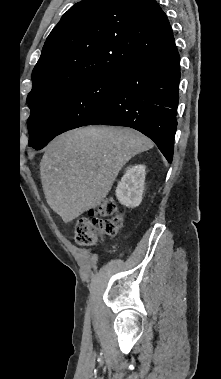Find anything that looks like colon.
Masks as SVG:
<instances>
[{"mask_svg":"<svg viewBox=\"0 0 221 379\" xmlns=\"http://www.w3.org/2000/svg\"><path fill=\"white\" fill-rule=\"evenodd\" d=\"M123 226V217L111 200L97 204L90 217L76 222L74 238L78 245H94L103 236L115 235Z\"/></svg>","mask_w":221,"mask_h":379,"instance_id":"5ec220e1","label":"colon"}]
</instances>
